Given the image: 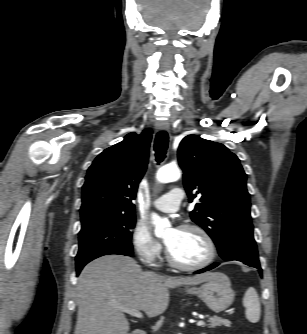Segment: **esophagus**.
Masks as SVG:
<instances>
[{
    "instance_id": "esophagus-1",
    "label": "esophagus",
    "mask_w": 307,
    "mask_h": 334,
    "mask_svg": "<svg viewBox=\"0 0 307 334\" xmlns=\"http://www.w3.org/2000/svg\"><path fill=\"white\" fill-rule=\"evenodd\" d=\"M155 128L157 131H167L169 129V123L168 121H157Z\"/></svg>"
}]
</instances>
